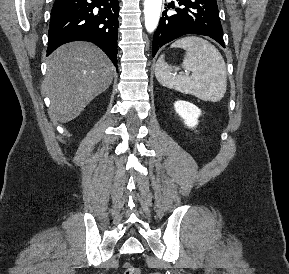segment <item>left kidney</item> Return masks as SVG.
Returning a JSON list of instances; mask_svg holds the SVG:
<instances>
[{"instance_id": "1", "label": "left kidney", "mask_w": 289, "mask_h": 274, "mask_svg": "<svg viewBox=\"0 0 289 274\" xmlns=\"http://www.w3.org/2000/svg\"><path fill=\"white\" fill-rule=\"evenodd\" d=\"M174 108L189 128H193L198 124V117L201 115V110L197 106L187 101L179 100L174 103Z\"/></svg>"}]
</instances>
